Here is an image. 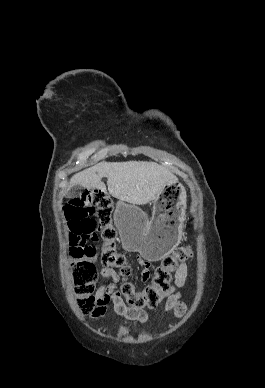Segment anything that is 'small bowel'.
<instances>
[{"label":"small bowel","mask_w":265,"mask_h":388,"mask_svg":"<svg viewBox=\"0 0 265 388\" xmlns=\"http://www.w3.org/2000/svg\"><path fill=\"white\" fill-rule=\"evenodd\" d=\"M138 264L141 267V282L146 283L150 278L151 264L141 257H138ZM101 275L105 279L110 280L109 283L100 286L96 292L101 315L106 312V306L111 301L114 313L123 318V321L118 324L120 331L127 330L130 325L145 323L148 319V314L142 309H134L126 305L116 289V284L119 282L118 274L113 269L104 267ZM187 276L188 266L186 263H182L175 272L174 285L161 295L159 302L154 306L156 311H173L177 317L184 315L186 306L180 300L181 295L178 289L185 285Z\"/></svg>","instance_id":"small-bowel-1"}]
</instances>
